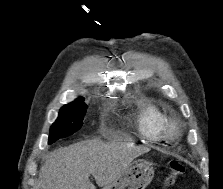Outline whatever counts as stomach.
<instances>
[{
	"instance_id": "stomach-1",
	"label": "stomach",
	"mask_w": 223,
	"mask_h": 189,
	"mask_svg": "<svg viewBox=\"0 0 223 189\" xmlns=\"http://www.w3.org/2000/svg\"><path fill=\"white\" fill-rule=\"evenodd\" d=\"M154 177V168L146 160H135L104 189H145Z\"/></svg>"
}]
</instances>
